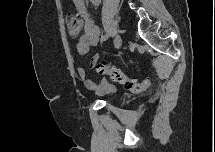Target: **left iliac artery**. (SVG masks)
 <instances>
[{"instance_id":"44dca946","label":"left iliac artery","mask_w":215,"mask_h":152,"mask_svg":"<svg viewBox=\"0 0 215 152\" xmlns=\"http://www.w3.org/2000/svg\"><path fill=\"white\" fill-rule=\"evenodd\" d=\"M110 36V34H106V35H104L103 37H102V41H105V40H107L108 39V37ZM109 66V68L111 69L113 66V64L110 62L109 64H108Z\"/></svg>"}]
</instances>
